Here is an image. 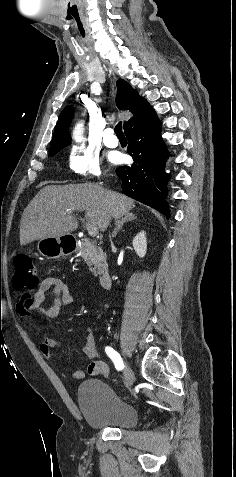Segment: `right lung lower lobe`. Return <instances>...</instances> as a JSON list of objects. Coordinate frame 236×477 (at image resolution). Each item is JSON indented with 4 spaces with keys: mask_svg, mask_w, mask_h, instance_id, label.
I'll list each match as a JSON object with an SVG mask.
<instances>
[{
    "mask_svg": "<svg viewBox=\"0 0 236 477\" xmlns=\"http://www.w3.org/2000/svg\"><path fill=\"white\" fill-rule=\"evenodd\" d=\"M125 134L129 142L128 153L134 163L116 169V174L122 180L123 192L169 218L165 197L166 183L170 176L164 173L169 154L161 137L160 120L137 126Z\"/></svg>",
    "mask_w": 236,
    "mask_h": 477,
    "instance_id": "1",
    "label": "right lung lower lobe"
}]
</instances>
